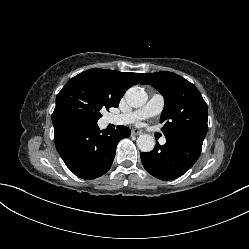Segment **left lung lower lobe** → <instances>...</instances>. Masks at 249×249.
Listing matches in <instances>:
<instances>
[{
    "mask_svg": "<svg viewBox=\"0 0 249 249\" xmlns=\"http://www.w3.org/2000/svg\"><path fill=\"white\" fill-rule=\"evenodd\" d=\"M203 140L193 136L166 138V144H156L153 151L141 153L144 168L160 180H172L186 173L197 161Z\"/></svg>",
    "mask_w": 249,
    "mask_h": 249,
    "instance_id": "left-lung-lower-lobe-1",
    "label": "left lung lower lobe"
}]
</instances>
